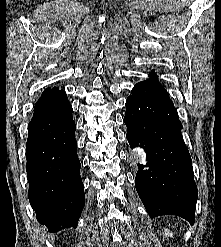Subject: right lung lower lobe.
I'll list each match as a JSON object with an SVG mask.
<instances>
[{"label":"right lung lower lobe","instance_id":"98d812e1","mask_svg":"<svg viewBox=\"0 0 221 247\" xmlns=\"http://www.w3.org/2000/svg\"><path fill=\"white\" fill-rule=\"evenodd\" d=\"M72 106L66 92L39 98L26 144L28 198L49 232L77 227L85 205Z\"/></svg>","mask_w":221,"mask_h":247}]
</instances>
